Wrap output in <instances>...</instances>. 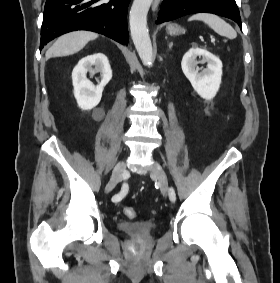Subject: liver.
<instances>
[{
    "label": "liver",
    "instance_id": "6515ba94",
    "mask_svg": "<svg viewBox=\"0 0 280 283\" xmlns=\"http://www.w3.org/2000/svg\"><path fill=\"white\" fill-rule=\"evenodd\" d=\"M98 37L90 31H74L59 37L46 52V58L68 56L79 52L85 45Z\"/></svg>",
    "mask_w": 280,
    "mask_h": 283
}]
</instances>
